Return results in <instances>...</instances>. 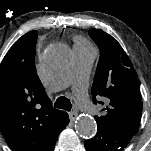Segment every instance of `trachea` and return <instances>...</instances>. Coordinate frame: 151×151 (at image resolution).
Here are the masks:
<instances>
[{
    "label": "trachea",
    "instance_id": "1",
    "mask_svg": "<svg viewBox=\"0 0 151 151\" xmlns=\"http://www.w3.org/2000/svg\"><path fill=\"white\" fill-rule=\"evenodd\" d=\"M54 107L70 111L72 108V104L68 98H66L65 96H61L57 98L56 102L54 103Z\"/></svg>",
    "mask_w": 151,
    "mask_h": 151
}]
</instances>
